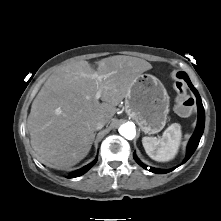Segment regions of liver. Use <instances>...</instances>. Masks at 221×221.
I'll list each match as a JSON object with an SVG mask.
<instances>
[{
    "label": "liver",
    "instance_id": "1",
    "mask_svg": "<svg viewBox=\"0 0 221 221\" xmlns=\"http://www.w3.org/2000/svg\"><path fill=\"white\" fill-rule=\"evenodd\" d=\"M70 64L52 74L34 99L27 120L31 145L51 167L77 164L91 149L94 120L108 123L135 79L152 65L140 58L116 55L97 62ZM97 76H103L98 81ZM101 91L100 103L95 95Z\"/></svg>",
    "mask_w": 221,
    "mask_h": 221
}]
</instances>
